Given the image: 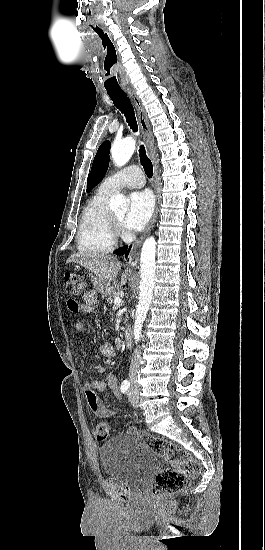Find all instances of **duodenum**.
Segmentation results:
<instances>
[{
  "label": "duodenum",
  "mask_w": 265,
  "mask_h": 550,
  "mask_svg": "<svg viewBox=\"0 0 265 550\" xmlns=\"http://www.w3.org/2000/svg\"><path fill=\"white\" fill-rule=\"evenodd\" d=\"M124 343L127 348L132 347V333L130 330L124 332Z\"/></svg>",
  "instance_id": "1"
}]
</instances>
